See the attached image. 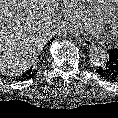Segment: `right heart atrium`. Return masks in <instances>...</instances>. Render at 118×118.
I'll list each match as a JSON object with an SVG mask.
<instances>
[{
	"instance_id": "d8ad5b80",
	"label": "right heart atrium",
	"mask_w": 118,
	"mask_h": 118,
	"mask_svg": "<svg viewBox=\"0 0 118 118\" xmlns=\"http://www.w3.org/2000/svg\"><path fill=\"white\" fill-rule=\"evenodd\" d=\"M78 6L79 5L77 4L76 10L72 13V21L74 24H77V25L88 21V19L80 11V8Z\"/></svg>"
}]
</instances>
